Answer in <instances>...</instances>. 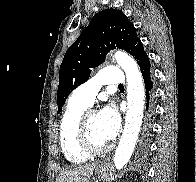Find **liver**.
<instances>
[{
	"instance_id": "obj_1",
	"label": "liver",
	"mask_w": 196,
	"mask_h": 182,
	"mask_svg": "<svg viewBox=\"0 0 196 182\" xmlns=\"http://www.w3.org/2000/svg\"><path fill=\"white\" fill-rule=\"evenodd\" d=\"M96 167L95 163L65 169L56 182H88Z\"/></svg>"
}]
</instances>
